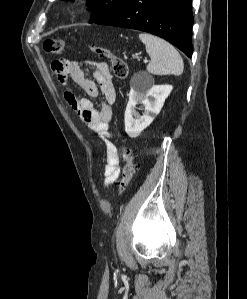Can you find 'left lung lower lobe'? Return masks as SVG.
Returning a JSON list of instances; mask_svg holds the SVG:
<instances>
[{
  "label": "left lung lower lobe",
  "instance_id": "0a47b994",
  "mask_svg": "<svg viewBox=\"0 0 247 299\" xmlns=\"http://www.w3.org/2000/svg\"><path fill=\"white\" fill-rule=\"evenodd\" d=\"M193 22L191 0H122L94 23L157 35L191 57Z\"/></svg>",
  "mask_w": 247,
  "mask_h": 299
}]
</instances>
